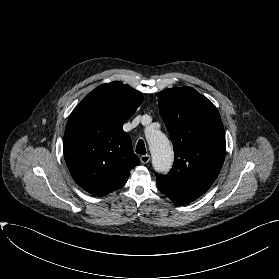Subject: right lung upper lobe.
I'll return each mask as SVG.
<instances>
[{
    "mask_svg": "<svg viewBox=\"0 0 279 279\" xmlns=\"http://www.w3.org/2000/svg\"><path fill=\"white\" fill-rule=\"evenodd\" d=\"M142 101L139 91L111 82L90 92L71 113L64 157L73 179L85 191L104 196L119 189L140 163L123 123Z\"/></svg>",
    "mask_w": 279,
    "mask_h": 279,
    "instance_id": "right-lung-upper-lobe-1",
    "label": "right lung upper lobe"
}]
</instances>
